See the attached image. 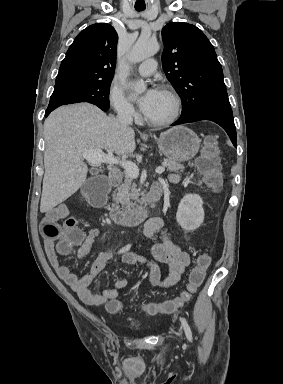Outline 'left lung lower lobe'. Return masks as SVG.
Listing matches in <instances>:
<instances>
[{
    "label": "left lung lower lobe",
    "instance_id": "1",
    "mask_svg": "<svg viewBox=\"0 0 283 384\" xmlns=\"http://www.w3.org/2000/svg\"><path fill=\"white\" fill-rule=\"evenodd\" d=\"M200 120H211L219 124L222 128L225 129L233 145L236 147L237 137L231 107L202 110L188 117L179 118L172 125L196 122Z\"/></svg>",
    "mask_w": 283,
    "mask_h": 384
}]
</instances>
